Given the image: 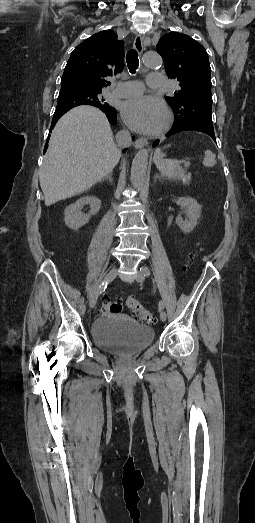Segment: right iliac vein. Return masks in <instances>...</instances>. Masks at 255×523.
<instances>
[{
	"mask_svg": "<svg viewBox=\"0 0 255 523\" xmlns=\"http://www.w3.org/2000/svg\"><path fill=\"white\" fill-rule=\"evenodd\" d=\"M117 275V269L116 268H113L112 270H110L108 272V274L105 276L104 278V282H110L112 281ZM98 296H99V288L95 291V293L92 295L91 299H90V307H95L96 303H97V299H98Z\"/></svg>",
	"mask_w": 255,
	"mask_h": 523,
	"instance_id": "1",
	"label": "right iliac vein"
}]
</instances>
